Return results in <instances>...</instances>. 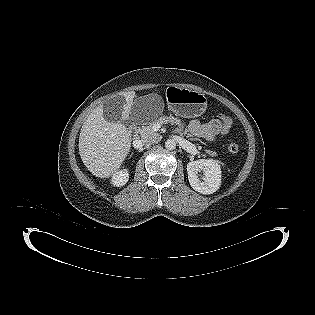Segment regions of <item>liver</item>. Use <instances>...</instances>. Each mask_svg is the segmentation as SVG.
I'll use <instances>...</instances> for the list:
<instances>
[{"label": "liver", "instance_id": "obj_1", "mask_svg": "<svg viewBox=\"0 0 315 315\" xmlns=\"http://www.w3.org/2000/svg\"><path fill=\"white\" fill-rule=\"evenodd\" d=\"M124 98V116L129 117L134 92ZM79 154L87 169L98 178H109L117 173L131 148V134L122 123L109 122L103 117V105L95 108L82 125Z\"/></svg>", "mask_w": 315, "mask_h": 315}]
</instances>
